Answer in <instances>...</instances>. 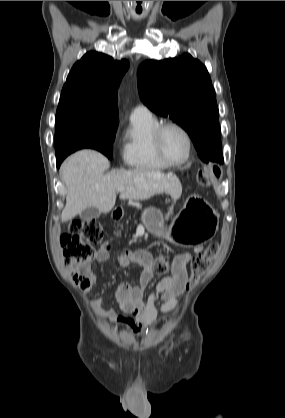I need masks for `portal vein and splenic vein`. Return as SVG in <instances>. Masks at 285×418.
Wrapping results in <instances>:
<instances>
[{"label": "portal vein and splenic vein", "mask_w": 285, "mask_h": 418, "mask_svg": "<svg viewBox=\"0 0 285 418\" xmlns=\"http://www.w3.org/2000/svg\"><path fill=\"white\" fill-rule=\"evenodd\" d=\"M124 189H125L124 187H120V188H118V191L122 192V191H124Z\"/></svg>", "instance_id": "portal-vein-and-splenic-vein-1"}]
</instances>
